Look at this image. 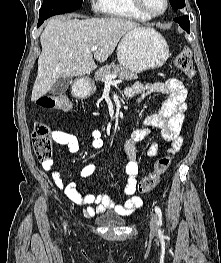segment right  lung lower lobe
<instances>
[{
	"label": "right lung lower lobe",
	"instance_id": "1",
	"mask_svg": "<svg viewBox=\"0 0 221 263\" xmlns=\"http://www.w3.org/2000/svg\"><path fill=\"white\" fill-rule=\"evenodd\" d=\"M45 19H39L38 20V24H37V27H39L43 22H44Z\"/></svg>",
	"mask_w": 221,
	"mask_h": 263
}]
</instances>
